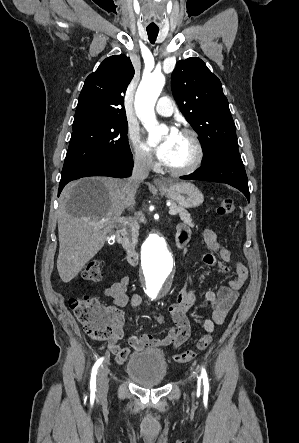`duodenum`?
<instances>
[{
    "label": "duodenum",
    "instance_id": "410a0bca",
    "mask_svg": "<svg viewBox=\"0 0 299 443\" xmlns=\"http://www.w3.org/2000/svg\"><path fill=\"white\" fill-rule=\"evenodd\" d=\"M116 237L117 241L119 242V244L121 245V247L123 248L124 252L127 255V260L129 265L133 267L136 266L138 263V253L133 247L126 244L124 230L119 229L116 233ZM176 244L177 247L181 249L186 245V242H180L179 240L176 239Z\"/></svg>",
    "mask_w": 299,
    "mask_h": 443
}]
</instances>
